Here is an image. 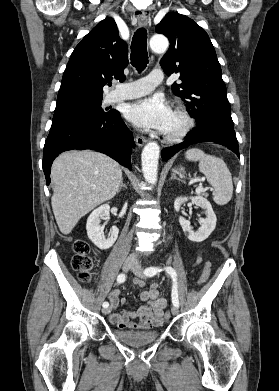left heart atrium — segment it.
<instances>
[{
	"label": "left heart atrium",
	"instance_id": "obj_1",
	"mask_svg": "<svg viewBox=\"0 0 279 391\" xmlns=\"http://www.w3.org/2000/svg\"><path fill=\"white\" fill-rule=\"evenodd\" d=\"M171 109L160 96L137 100L126 107L125 117L133 124L165 132Z\"/></svg>",
	"mask_w": 279,
	"mask_h": 391
}]
</instances>
